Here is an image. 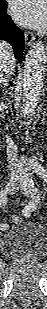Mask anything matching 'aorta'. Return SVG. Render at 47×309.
Instances as JSON below:
<instances>
[{
	"instance_id": "1",
	"label": "aorta",
	"mask_w": 47,
	"mask_h": 309,
	"mask_svg": "<svg viewBox=\"0 0 47 309\" xmlns=\"http://www.w3.org/2000/svg\"><path fill=\"white\" fill-rule=\"evenodd\" d=\"M45 62V46L41 41H38L28 51L23 69L22 102L23 113L26 117L34 113L40 100L43 89Z\"/></svg>"
}]
</instances>
